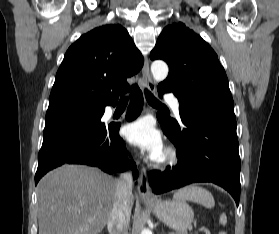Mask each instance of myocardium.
I'll use <instances>...</instances> for the list:
<instances>
[{
  "instance_id": "1",
  "label": "myocardium",
  "mask_w": 279,
  "mask_h": 234,
  "mask_svg": "<svg viewBox=\"0 0 279 234\" xmlns=\"http://www.w3.org/2000/svg\"><path fill=\"white\" fill-rule=\"evenodd\" d=\"M177 161H178V153L172 147L166 148L164 152L161 154V156L155 160L157 166L161 168L172 166L176 164Z\"/></svg>"
}]
</instances>
